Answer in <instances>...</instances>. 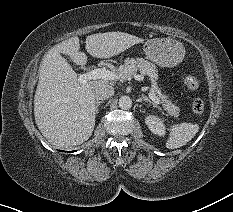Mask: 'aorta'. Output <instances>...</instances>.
<instances>
[{"label": "aorta", "instance_id": "762f6f07", "mask_svg": "<svg viewBox=\"0 0 233 212\" xmlns=\"http://www.w3.org/2000/svg\"><path fill=\"white\" fill-rule=\"evenodd\" d=\"M119 107L121 109L127 110L132 107V100L129 96H121L119 99Z\"/></svg>", "mask_w": 233, "mask_h": 212}]
</instances>
